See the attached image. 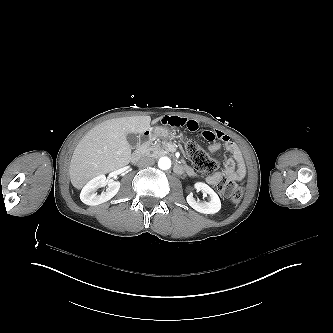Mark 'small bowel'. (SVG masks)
<instances>
[{
  "mask_svg": "<svg viewBox=\"0 0 333 333\" xmlns=\"http://www.w3.org/2000/svg\"><path fill=\"white\" fill-rule=\"evenodd\" d=\"M162 124L185 128L189 131H199L201 130L202 136L208 141L219 140L218 142H213L209 145L208 150L210 152H216L221 148H224L230 153V157L226 160L224 165V172L213 173L206 178V182L211 186H216L222 177H228L234 179L237 182H242L246 176V166L244 162L243 155L238 147V145L231 141L229 137L218 129H210L208 124L201 123L198 119L187 117V116H167L162 119ZM184 170H189L187 165H184Z\"/></svg>",
  "mask_w": 333,
  "mask_h": 333,
  "instance_id": "1",
  "label": "small bowel"
}]
</instances>
